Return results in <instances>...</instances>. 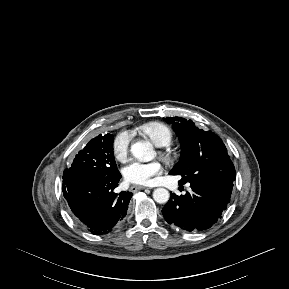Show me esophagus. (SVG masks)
<instances>
[{"instance_id": "obj_1", "label": "esophagus", "mask_w": 289, "mask_h": 289, "mask_svg": "<svg viewBox=\"0 0 289 289\" xmlns=\"http://www.w3.org/2000/svg\"><path fill=\"white\" fill-rule=\"evenodd\" d=\"M143 189H146V187L138 186V185H133V186H131V191H132V192H136V191H138V190H143Z\"/></svg>"}]
</instances>
